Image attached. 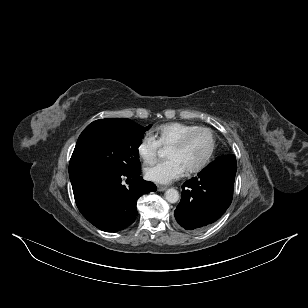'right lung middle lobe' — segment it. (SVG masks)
<instances>
[{"mask_svg":"<svg viewBox=\"0 0 308 308\" xmlns=\"http://www.w3.org/2000/svg\"><path fill=\"white\" fill-rule=\"evenodd\" d=\"M149 128L150 125L142 127L132 121L88 125L79 136L71 156L70 177L85 172L117 175L139 170L138 147Z\"/></svg>","mask_w":308,"mask_h":308,"instance_id":"1","label":"right lung middle lobe"}]
</instances>
